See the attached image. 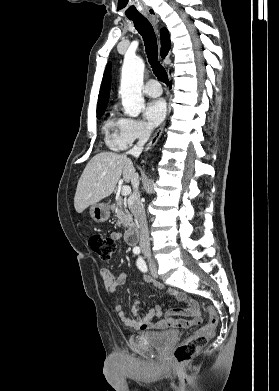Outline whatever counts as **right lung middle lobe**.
<instances>
[{
  "label": "right lung middle lobe",
  "instance_id": "obj_1",
  "mask_svg": "<svg viewBox=\"0 0 279 391\" xmlns=\"http://www.w3.org/2000/svg\"><path fill=\"white\" fill-rule=\"evenodd\" d=\"M105 109H102V110H97V117H101L102 114L104 113Z\"/></svg>",
  "mask_w": 279,
  "mask_h": 391
}]
</instances>
